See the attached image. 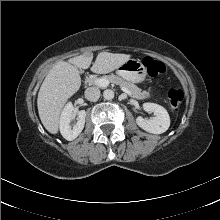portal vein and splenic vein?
Returning <instances> with one entry per match:
<instances>
[{
    "label": "portal vein and splenic vein",
    "instance_id": "portal-vein-and-splenic-vein-1",
    "mask_svg": "<svg viewBox=\"0 0 220 220\" xmlns=\"http://www.w3.org/2000/svg\"><path fill=\"white\" fill-rule=\"evenodd\" d=\"M109 80H107L106 78H98L97 80H95V84L99 87H107L109 85ZM121 90L125 93H127L128 95H130V91L125 88V87H122L120 86Z\"/></svg>",
    "mask_w": 220,
    "mask_h": 220
}]
</instances>
